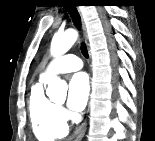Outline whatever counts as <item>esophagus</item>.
Instances as JSON below:
<instances>
[{
	"instance_id": "1",
	"label": "esophagus",
	"mask_w": 155,
	"mask_h": 141,
	"mask_svg": "<svg viewBox=\"0 0 155 141\" xmlns=\"http://www.w3.org/2000/svg\"><path fill=\"white\" fill-rule=\"evenodd\" d=\"M82 35L84 40L86 41V26L82 19ZM87 123L84 122L80 125V127L76 130L73 137H76V140H81L85 134Z\"/></svg>"
}]
</instances>
